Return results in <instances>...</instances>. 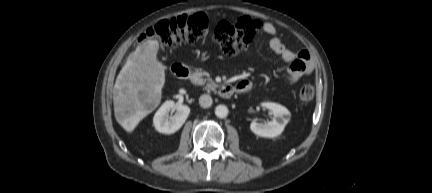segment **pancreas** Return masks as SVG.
Instances as JSON below:
<instances>
[{
  "label": "pancreas",
  "mask_w": 432,
  "mask_h": 193,
  "mask_svg": "<svg viewBox=\"0 0 432 193\" xmlns=\"http://www.w3.org/2000/svg\"><path fill=\"white\" fill-rule=\"evenodd\" d=\"M203 76H206L207 78H203ZM206 82H207V84H206ZM195 83L197 85L206 84L205 89L207 91H215L216 88L218 87V85L210 78L209 74L207 72H204V71L203 72L200 71V72L196 73Z\"/></svg>",
  "instance_id": "cf45deb5"
}]
</instances>
